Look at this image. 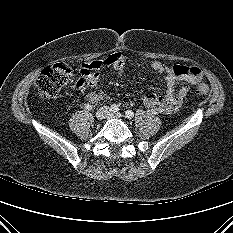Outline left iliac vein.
<instances>
[{"label": "left iliac vein", "mask_w": 233, "mask_h": 233, "mask_svg": "<svg viewBox=\"0 0 233 233\" xmlns=\"http://www.w3.org/2000/svg\"><path fill=\"white\" fill-rule=\"evenodd\" d=\"M108 117L109 118H121L122 117V114L121 113H119V112H117V113H109V115H108Z\"/></svg>", "instance_id": "left-iliac-vein-1"}]
</instances>
